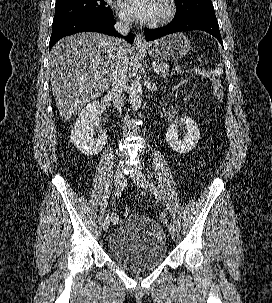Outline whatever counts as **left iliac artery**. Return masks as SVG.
<instances>
[{
	"label": "left iliac artery",
	"mask_w": 272,
	"mask_h": 303,
	"mask_svg": "<svg viewBox=\"0 0 272 303\" xmlns=\"http://www.w3.org/2000/svg\"><path fill=\"white\" fill-rule=\"evenodd\" d=\"M149 188H150V191L155 195V197L160 200L161 199V196L158 192V189L156 188V186L154 185V183L149 180ZM167 225H169V228L170 229H175V226L173 224V220H167Z\"/></svg>",
	"instance_id": "44dca946"
}]
</instances>
